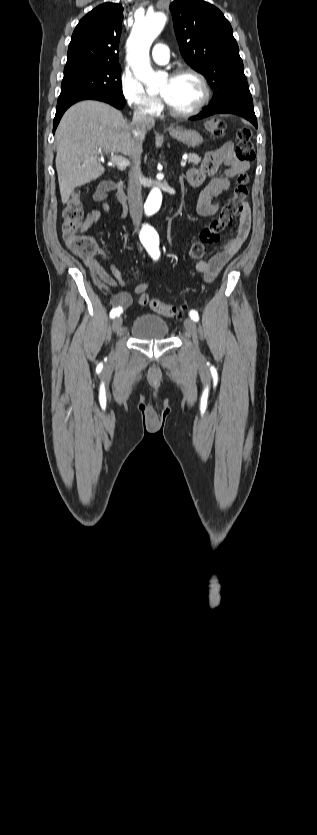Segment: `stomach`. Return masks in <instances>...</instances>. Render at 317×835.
Wrapping results in <instances>:
<instances>
[{
  "label": "stomach",
  "instance_id": "0dacf381",
  "mask_svg": "<svg viewBox=\"0 0 317 835\" xmlns=\"http://www.w3.org/2000/svg\"><path fill=\"white\" fill-rule=\"evenodd\" d=\"M169 134L179 142L189 146L198 147L203 142L202 136L195 130L185 129L182 127H170Z\"/></svg>",
  "mask_w": 317,
  "mask_h": 835
}]
</instances>
